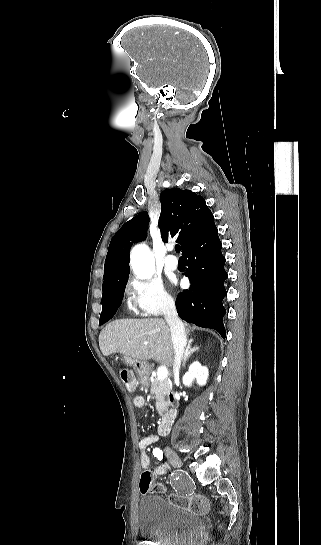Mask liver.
Returning <instances> with one entry per match:
<instances>
[{"label":"liver","instance_id":"1","mask_svg":"<svg viewBox=\"0 0 321 545\" xmlns=\"http://www.w3.org/2000/svg\"><path fill=\"white\" fill-rule=\"evenodd\" d=\"M189 335V329H184ZM147 343V345H145ZM99 347L104 357L121 353L131 359H154L173 365V343L170 329L163 319H118L108 323L99 335Z\"/></svg>","mask_w":321,"mask_h":545}]
</instances>
